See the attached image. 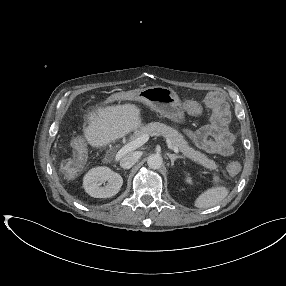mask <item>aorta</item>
<instances>
[{
	"label": "aorta",
	"instance_id": "obj_1",
	"mask_svg": "<svg viewBox=\"0 0 286 286\" xmlns=\"http://www.w3.org/2000/svg\"><path fill=\"white\" fill-rule=\"evenodd\" d=\"M147 164L151 169H159L163 164V158L159 154H151L147 158Z\"/></svg>",
	"mask_w": 286,
	"mask_h": 286
}]
</instances>
